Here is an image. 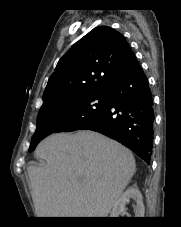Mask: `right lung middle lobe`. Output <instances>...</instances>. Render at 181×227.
Listing matches in <instances>:
<instances>
[{
    "label": "right lung middle lobe",
    "mask_w": 181,
    "mask_h": 227,
    "mask_svg": "<svg viewBox=\"0 0 181 227\" xmlns=\"http://www.w3.org/2000/svg\"><path fill=\"white\" fill-rule=\"evenodd\" d=\"M108 102L109 92L103 90L41 109L29 151H33L37 144L50 134L84 128L104 111Z\"/></svg>",
    "instance_id": "right-lung-middle-lobe-1"
}]
</instances>
